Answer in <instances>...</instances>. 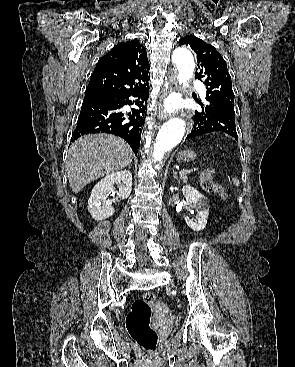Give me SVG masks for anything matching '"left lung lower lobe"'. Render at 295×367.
Wrapping results in <instances>:
<instances>
[{"label": "left lung lower lobe", "mask_w": 295, "mask_h": 367, "mask_svg": "<svg viewBox=\"0 0 295 367\" xmlns=\"http://www.w3.org/2000/svg\"><path fill=\"white\" fill-rule=\"evenodd\" d=\"M195 124L186 139L196 138L210 132H223L238 141L234 109L221 105H202V112L196 111Z\"/></svg>", "instance_id": "obj_1"}]
</instances>
